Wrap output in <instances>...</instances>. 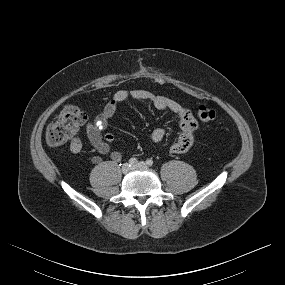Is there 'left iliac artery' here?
Instances as JSON below:
<instances>
[{"label": "left iliac artery", "mask_w": 285, "mask_h": 285, "mask_svg": "<svg viewBox=\"0 0 285 285\" xmlns=\"http://www.w3.org/2000/svg\"><path fill=\"white\" fill-rule=\"evenodd\" d=\"M146 164H147L148 166H152V165H153V161H152L151 159H147V160H146Z\"/></svg>", "instance_id": "1"}]
</instances>
